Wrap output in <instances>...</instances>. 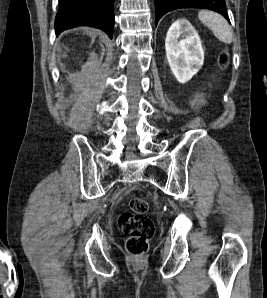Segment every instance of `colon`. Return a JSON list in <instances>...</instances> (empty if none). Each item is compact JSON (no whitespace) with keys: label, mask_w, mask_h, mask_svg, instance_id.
Here are the masks:
<instances>
[{"label":"colon","mask_w":267,"mask_h":298,"mask_svg":"<svg viewBox=\"0 0 267 298\" xmlns=\"http://www.w3.org/2000/svg\"><path fill=\"white\" fill-rule=\"evenodd\" d=\"M228 62L229 56L225 51L220 55L219 63L225 68ZM147 211V201L135 197L129 201V208L118 218L119 229L127 236L126 249L135 258H140L147 252L149 241L155 232L153 220L147 215Z\"/></svg>","instance_id":"1"}]
</instances>
